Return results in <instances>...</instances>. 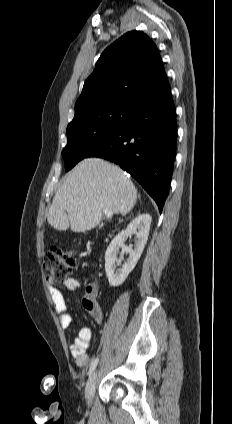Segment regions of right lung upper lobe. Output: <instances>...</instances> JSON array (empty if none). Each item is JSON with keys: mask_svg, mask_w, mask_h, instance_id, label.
Listing matches in <instances>:
<instances>
[{"mask_svg": "<svg viewBox=\"0 0 232 424\" xmlns=\"http://www.w3.org/2000/svg\"><path fill=\"white\" fill-rule=\"evenodd\" d=\"M166 79L155 43L145 33L128 32L101 54L84 83L75 114L105 104L132 106Z\"/></svg>", "mask_w": 232, "mask_h": 424, "instance_id": "1", "label": "right lung upper lobe"}]
</instances>
